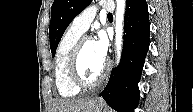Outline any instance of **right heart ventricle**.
<instances>
[{"label":"right heart ventricle","instance_id":"e07e8e85","mask_svg":"<svg viewBox=\"0 0 193 112\" xmlns=\"http://www.w3.org/2000/svg\"><path fill=\"white\" fill-rule=\"evenodd\" d=\"M81 35V33L69 27L60 38L56 47L54 76L57 90L62 97H74L81 92V89L72 82L69 74L70 55Z\"/></svg>","mask_w":193,"mask_h":112}]
</instances>
